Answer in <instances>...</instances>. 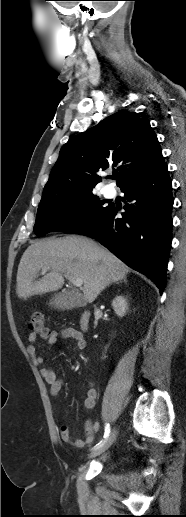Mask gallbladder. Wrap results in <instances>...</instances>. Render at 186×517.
<instances>
[{
  "mask_svg": "<svg viewBox=\"0 0 186 517\" xmlns=\"http://www.w3.org/2000/svg\"><path fill=\"white\" fill-rule=\"evenodd\" d=\"M82 303V300L79 301L75 294L72 292H60L56 294L50 304L59 309L70 308L72 306H79Z\"/></svg>",
  "mask_w": 186,
  "mask_h": 517,
  "instance_id": "obj_1",
  "label": "gallbladder"
}]
</instances>
